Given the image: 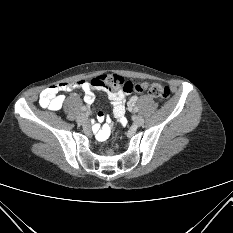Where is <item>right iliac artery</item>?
<instances>
[{
    "instance_id": "82829eb1",
    "label": "right iliac artery",
    "mask_w": 233,
    "mask_h": 233,
    "mask_svg": "<svg viewBox=\"0 0 233 233\" xmlns=\"http://www.w3.org/2000/svg\"><path fill=\"white\" fill-rule=\"evenodd\" d=\"M82 111H86V107H82Z\"/></svg>"
}]
</instances>
